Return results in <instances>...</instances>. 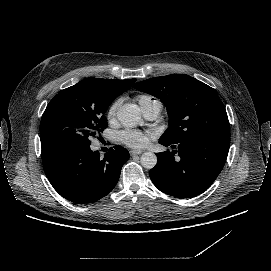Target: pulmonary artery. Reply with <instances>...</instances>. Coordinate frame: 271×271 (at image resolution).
I'll return each instance as SVG.
<instances>
[{"label": "pulmonary artery", "instance_id": "pulmonary-artery-1", "mask_svg": "<svg viewBox=\"0 0 271 271\" xmlns=\"http://www.w3.org/2000/svg\"><path fill=\"white\" fill-rule=\"evenodd\" d=\"M161 105L159 102H154L153 105L142 107L144 116L148 120H154L160 112Z\"/></svg>", "mask_w": 271, "mask_h": 271}]
</instances>
